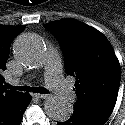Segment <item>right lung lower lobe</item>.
Masks as SVG:
<instances>
[{"instance_id": "1", "label": "right lung lower lobe", "mask_w": 125, "mask_h": 125, "mask_svg": "<svg viewBox=\"0 0 125 125\" xmlns=\"http://www.w3.org/2000/svg\"><path fill=\"white\" fill-rule=\"evenodd\" d=\"M31 99L28 93L20 92L17 96L0 104V125H20Z\"/></svg>"}]
</instances>
